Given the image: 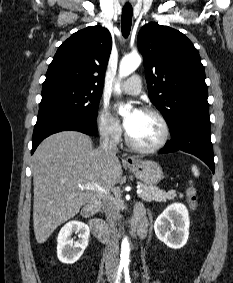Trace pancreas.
<instances>
[{
    "label": "pancreas",
    "mask_w": 233,
    "mask_h": 283,
    "mask_svg": "<svg viewBox=\"0 0 233 283\" xmlns=\"http://www.w3.org/2000/svg\"><path fill=\"white\" fill-rule=\"evenodd\" d=\"M138 185L143 190V192L139 194V197L146 202H166L168 200H173L175 197H177L175 190L165 192L155 186L145 185L142 183H138Z\"/></svg>",
    "instance_id": "cf45deb5"
}]
</instances>
